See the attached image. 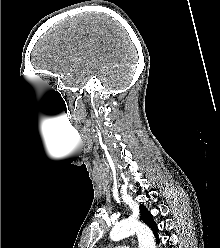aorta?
<instances>
[{
  "mask_svg": "<svg viewBox=\"0 0 220 248\" xmlns=\"http://www.w3.org/2000/svg\"><path fill=\"white\" fill-rule=\"evenodd\" d=\"M133 234L138 237L139 248H155L152 231L146 225L132 219L117 223L110 232V238L113 241H119Z\"/></svg>",
  "mask_w": 220,
  "mask_h": 248,
  "instance_id": "1",
  "label": "aorta"
}]
</instances>
